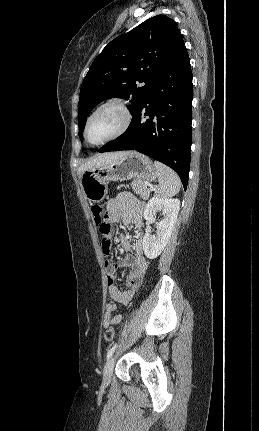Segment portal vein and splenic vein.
<instances>
[{
  "label": "portal vein and splenic vein",
  "mask_w": 259,
  "mask_h": 431,
  "mask_svg": "<svg viewBox=\"0 0 259 431\" xmlns=\"http://www.w3.org/2000/svg\"><path fill=\"white\" fill-rule=\"evenodd\" d=\"M146 184L148 185V186H150V189H152L153 187L150 185V184H148L147 182H146Z\"/></svg>",
  "instance_id": "18ae733b"
}]
</instances>
